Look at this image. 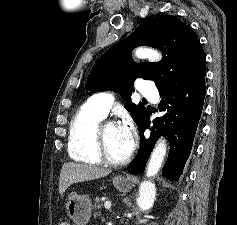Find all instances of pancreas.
Segmentation results:
<instances>
[{
    "label": "pancreas",
    "mask_w": 237,
    "mask_h": 225,
    "mask_svg": "<svg viewBox=\"0 0 237 225\" xmlns=\"http://www.w3.org/2000/svg\"><path fill=\"white\" fill-rule=\"evenodd\" d=\"M101 206H102V204H101L100 197H96L95 200H94L93 208L99 210V209H101ZM96 215L97 214H95V216Z\"/></svg>",
    "instance_id": "obj_1"
}]
</instances>
